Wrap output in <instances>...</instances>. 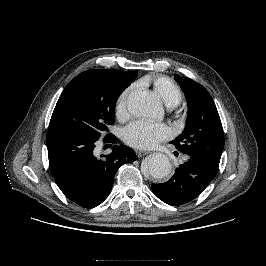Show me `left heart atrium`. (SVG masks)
Returning <instances> with one entry per match:
<instances>
[{
	"mask_svg": "<svg viewBox=\"0 0 266 266\" xmlns=\"http://www.w3.org/2000/svg\"><path fill=\"white\" fill-rule=\"evenodd\" d=\"M171 129L164 123L136 120L125 127L123 139L129 146L149 149L171 136Z\"/></svg>",
	"mask_w": 266,
	"mask_h": 266,
	"instance_id": "39dd6f15",
	"label": "left heart atrium"
}]
</instances>
